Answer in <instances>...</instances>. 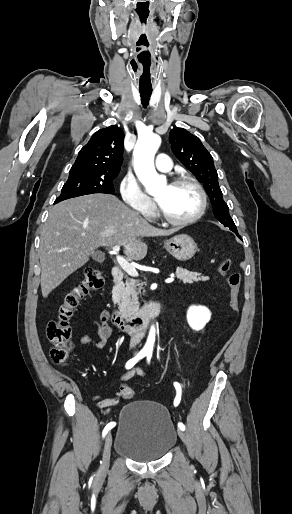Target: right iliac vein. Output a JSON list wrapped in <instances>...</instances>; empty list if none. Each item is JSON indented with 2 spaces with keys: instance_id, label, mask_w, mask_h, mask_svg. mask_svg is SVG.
I'll return each instance as SVG.
<instances>
[{
  "instance_id": "63e3f726",
  "label": "right iliac vein",
  "mask_w": 292,
  "mask_h": 514,
  "mask_svg": "<svg viewBox=\"0 0 292 514\" xmlns=\"http://www.w3.org/2000/svg\"><path fill=\"white\" fill-rule=\"evenodd\" d=\"M111 446H112V435L111 433H108L105 443H104V449H103V457L99 469V476L103 477L109 467L110 462V454H111Z\"/></svg>"
}]
</instances>
